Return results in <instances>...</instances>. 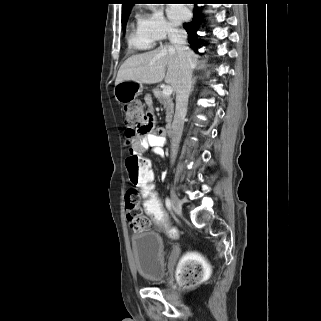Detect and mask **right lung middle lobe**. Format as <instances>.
I'll use <instances>...</instances> for the list:
<instances>
[{
  "instance_id": "obj_1",
  "label": "right lung middle lobe",
  "mask_w": 321,
  "mask_h": 321,
  "mask_svg": "<svg viewBox=\"0 0 321 321\" xmlns=\"http://www.w3.org/2000/svg\"><path fill=\"white\" fill-rule=\"evenodd\" d=\"M130 12H127L125 14L122 15V28H123V32L125 31V27H126V23L128 20Z\"/></svg>"
}]
</instances>
